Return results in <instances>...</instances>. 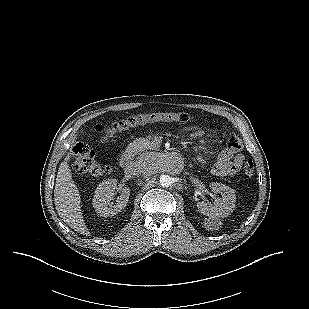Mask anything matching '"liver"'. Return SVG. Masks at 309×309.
<instances>
[{
    "instance_id": "obj_1",
    "label": "liver",
    "mask_w": 309,
    "mask_h": 309,
    "mask_svg": "<svg viewBox=\"0 0 309 309\" xmlns=\"http://www.w3.org/2000/svg\"><path fill=\"white\" fill-rule=\"evenodd\" d=\"M68 157L60 164L54 189V204L58 215L75 231L90 235L83 219L79 189L72 179Z\"/></svg>"
}]
</instances>
